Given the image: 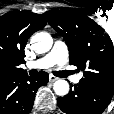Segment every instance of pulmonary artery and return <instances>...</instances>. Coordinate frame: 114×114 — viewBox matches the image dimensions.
<instances>
[{"label":"pulmonary artery","instance_id":"pulmonary-artery-1","mask_svg":"<svg viewBox=\"0 0 114 114\" xmlns=\"http://www.w3.org/2000/svg\"><path fill=\"white\" fill-rule=\"evenodd\" d=\"M68 59V49L64 42L56 41L52 50L44 57L27 63L28 68H47L53 65L63 66ZM74 83H79L80 77H72Z\"/></svg>","mask_w":114,"mask_h":114}]
</instances>
